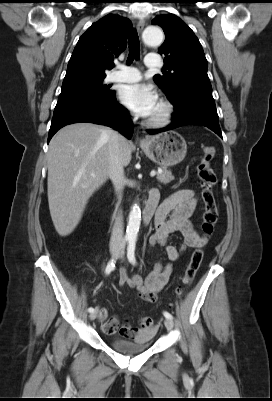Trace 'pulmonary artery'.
Returning a JSON list of instances; mask_svg holds the SVG:
<instances>
[{
  "label": "pulmonary artery",
  "instance_id": "pulmonary-artery-1",
  "mask_svg": "<svg viewBox=\"0 0 272 401\" xmlns=\"http://www.w3.org/2000/svg\"><path fill=\"white\" fill-rule=\"evenodd\" d=\"M145 65L149 68L159 67V57L157 55H148L145 59ZM140 78L141 73L136 68L117 63L115 70L108 75L107 81L113 83H131L138 81Z\"/></svg>",
  "mask_w": 272,
  "mask_h": 401
}]
</instances>
